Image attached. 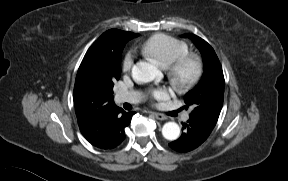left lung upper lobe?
I'll list each match as a JSON object with an SVG mask.
<instances>
[{
	"label": "left lung upper lobe",
	"mask_w": 288,
	"mask_h": 181,
	"mask_svg": "<svg viewBox=\"0 0 288 181\" xmlns=\"http://www.w3.org/2000/svg\"><path fill=\"white\" fill-rule=\"evenodd\" d=\"M183 37L194 42L202 53L205 66V73L199 84L184 96L185 107H192L191 117H198L215 125L223 105L225 86L221 64L206 41L194 34H185Z\"/></svg>",
	"instance_id": "obj_1"
}]
</instances>
